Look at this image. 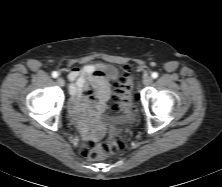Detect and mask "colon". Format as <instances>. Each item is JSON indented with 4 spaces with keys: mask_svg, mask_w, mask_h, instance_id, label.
<instances>
[{
    "mask_svg": "<svg viewBox=\"0 0 222 187\" xmlns=\"http://www.w3.org/2000/svg\"><path fill=\"white\" fill-rule=\"evenodd\" d=\"M130 68H127L126 76L120 88L111 96V109L118 112L121 108L129 103L128 91L131 87ZM125 149L123 140L116 138L113 140H105L95 142L88 140L82 150V155L90 160H102L109 156L120 154Z\"/></svg>",
    "mask_w": 222,
    "mask_h": 187,
    "instance_id": "colon-1",
    "label": "colon"
}]
</instances>
